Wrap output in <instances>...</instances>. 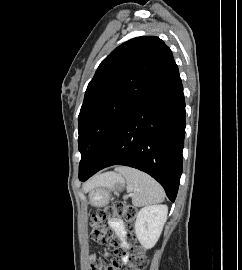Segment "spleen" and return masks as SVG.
<instances>
[{"label": "spleen", "instance_id": "3e777b00", "mask_svg": "<svg viewBox=\"0 0 242 270\" xmlns=\"http://www.w3.org/2000/svg\"><path fill=\"white\" fill-rule=\"evenodd\" d=\"M118 171L126 180L127 192L132 197L133 205L141 207L161 203L164 200L163 188L146 173L130 167H122Z\"/></svg>", "mask_w": 242, "mask_h": 270}]
</instances>
